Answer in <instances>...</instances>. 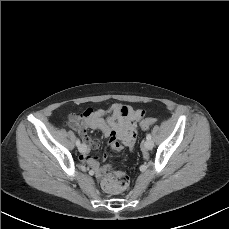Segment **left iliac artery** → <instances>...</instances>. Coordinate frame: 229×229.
<instances>
[{
	"label": "left iliac artery",
	"mask_w": 229,
	"mask_h": 229,
	"mask_svg": "<svg viewBox=\"0 0 229 229\" xmlns=\"http://www.w3.org/2000/svg\"><path fill=\"white\" fill-rule=\"evenodd\" d=\"M146 139H151V134H150V133H148V134L146 135Z\"/></svg>",
	"instance_id": "1"
}]
</instances>
